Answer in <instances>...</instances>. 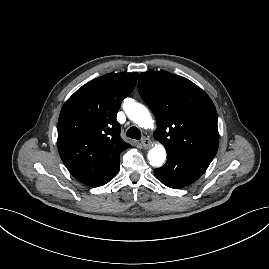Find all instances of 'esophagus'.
I'll list each match as a JSON object with an SVG mask.
<instances>
[{
  "label": "esophagus",
  "mask_w": 269,
  "mask_h": 269,
  "mask_svg": "<svg viewBox=\"0 0 269 269\" xmlns=\"http://www.w3.org/2000/svg\"><path fill=\"white\" fill-rule=\"evenodd\" d=\"M141 144L143 145L144 148H149L151 145V141L149 139V137H143L141 140Z\"/></svg>",
  "instance_id": "esophagus-1"
}]
</instances>
